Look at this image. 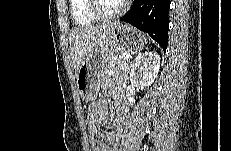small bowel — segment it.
<instances>
[{
    "instance_id": "c3829d8e",
    "label": "small bowel",
    "mask_w": 231,
    "mask_h": 151,
    "mask_svg": "<svg viewBox=\"0 0 231 151\" xmlns=\"http://www.w3.org/2000/svg\"><path fill=\"white\" fill-rule=\"evenodd\" d=\"M104 88H111L116 100L117 117L113 121V133H109L98 128V124L105 122L108 117L107 101L100 98L93 102L87 114V128L90 134L91 151H118L122 138V129L127 112V104L123 100L122 90L111 86L109 83L103 85Z\"/></svg>"
}]
</instances>
